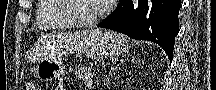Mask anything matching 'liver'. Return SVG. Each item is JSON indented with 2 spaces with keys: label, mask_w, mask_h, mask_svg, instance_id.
<instances>
[{
  "label": "liver",
  "mask_w": 216,
  "mask_h": 90,
  "mask_svg": "<svg viewBox=\"0 0 216 90\" xmlns=\"http://www.w3.org/2000/svg\"><path fill=\"white\" fill-rule=\"evenodd\" d=\"M100 30H86V32H74L68 36V46L70 50H82L92 46L93 40H98Z\"/></svg>",
  "instance_id": "liver-1"
}]
</instances>
